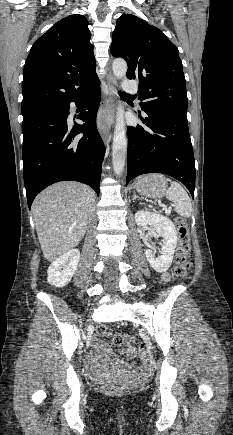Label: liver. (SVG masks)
<instances>
[{"instance_id": "6515ba94", "label": "liver", "mask_w": 233, "mask_h": 435, "mask_svg": "<svg viewBox=\"0 0 233 435\" xmlns=\"http://www.w3.org/2000/svg\"><path fill=\"white\" fill-rule=\"evenodd\" d=\"M94 210L93 190L79 182H58L38 194L32 212L43 255L49 262L80 243Z\"/></svg>"}]
</instances>
